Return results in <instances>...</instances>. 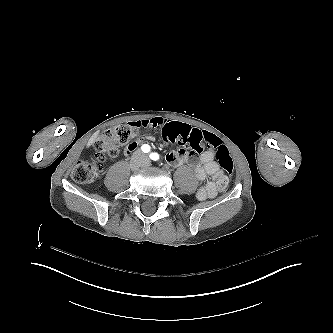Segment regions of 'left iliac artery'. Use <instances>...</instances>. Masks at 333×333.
Returning a JSON list of instances; mask_svg holds the SVG:
<instances>
[{
    "label": "left iliac artery",
    "mask_w": 333,
    "mask_h": 333,
    "mask_svg": "<svg viewBox=\"0 0 333 333\" xmlns=\"http://www.w3.org/2000/svg\"><path fill=\"white\" fill-rule=\"evenodd\" d=\"M150 158L154 161L159 159V155L157 153H151Z\"/></svg>",
    "instance_id": "1"
}]
</instances>
